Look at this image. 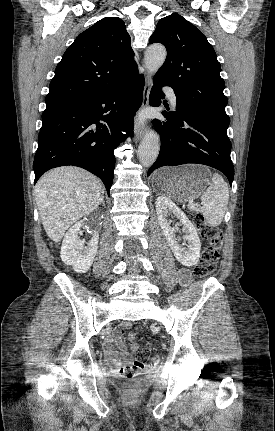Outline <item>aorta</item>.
I'll list each match as a JSON object with an SVG mask.
<instances>
[{"label":"aorta","mask_w":275,"mask_h":431,"mask_svg":"<svg viewBox=\"0 0 275 431\" xmlns=\"http://www.w3.org/2000/svg\"><path fill=\"white\" fill-rule=\"evenodd\" d=\"M166 49L162 45H152L145 52V66L150 74H155L166 59ZM160 150V138L157 133L150 131L142 139L138 148L140 163L150 167L157 159Z\"/></svg>","instance_id":"1"}]
</instances>
